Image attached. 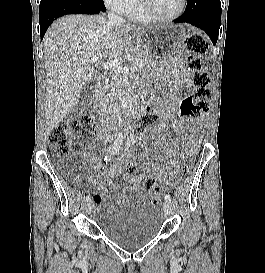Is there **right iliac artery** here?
<instances>
[{
    "mask_svg": "<svg viewBox=\"0 0 265 273\" xmlns=\"http://www.w3.org/2000/svg\"><path fill=\"white\" fill-rule=\"evenodd\" d=\"M122 144H123V136H122L121 133H119V135H118L116 141H115L114 144L109 148V153H111V154L117 153V152L120 150ZM90 201H91V196H90V195L86 196V197H85V202H90Z\"/></svg>",
    "mask_w": 265,
    "mask_h": 273,
    "instance_id": "82829eb1",
    "label": "right iliac artery"
}]
</instances>
